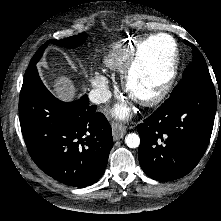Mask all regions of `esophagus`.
Returning a JSON list of instances; mask_svg holds the SVG:
<instances>
[{"instance_id": "34e87169", "label": "esophagus", "mask_w": 221, "mask_h": 221, "mask_svg": "<svg viewBox=\"0 0 221 221\" xmlns=\"http://www.w3.org/2000/svg\"><path fill=\"white\" fill-rule=\"evenodd\" d=\"M111 127H112V135L114 140H119L123 138V136L126 133V130L122 124L113 122Z\"/></svg>"}]
</instances>
